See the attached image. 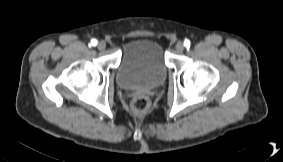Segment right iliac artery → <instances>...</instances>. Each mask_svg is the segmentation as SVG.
I'll use <instances>...</instances> for the list:
<instances>
[{
    "label": "right iliac artery",
    "instance_id": "82829eb1",
    "mask_svg": "<svg viewBox=\"0 0 283 162\" xmlns=\"http://www.w3.org/2000/svg\"><path fill=\"white\" fill-rule=\"evenodd\" d=\"M91 45L92 46H96L97 45V40L96 39H92L91 40Z\"/></svg>",
    "mask_w": 283,
    "mask_h": 162
}]
</instances>
